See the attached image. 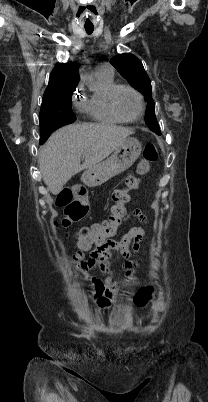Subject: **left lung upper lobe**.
Masks as SVG:
<instances>
[{"label":"left lung upper lobe","instance_id":"left-lung-upper-lobe-1","mask_svg":"<svg viewBox=\"0 0 208 402\" xmlns=\"http://www.w3.org/2000/svg\"><path fill=\"white\" fill-rule=\"evenodd\" d=\"M110 63L135 88L140 90L148 103L146 122L150 130L160 135V128L155 116V104L152 99L151 82L142 62L133 54L123 53L113 57Z\"/></svg>","mask_w":208,"mask_h":402}]
</instances>
